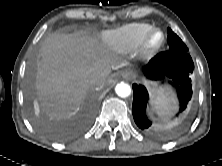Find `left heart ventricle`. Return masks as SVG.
I'll return each mask as SVG.
<instances>
[{
  "label": "left heart ventricle",
  "instance_id": "obj_1",
  "mask_svg": "<svg viewBox=\"0 0 222 166\" xmlns=\"http://www.w3.org/2000/svg\"><path fill=\"white\" fill-rule=\"evenodd\" d=\"M159 38H160V35L159 34H155L154 36H153V38H152V42L154 43V42H157L158 40H159Z\"/></svg>",
  "mask_w": 222,
  "mask_h": 166
}]
</instances>
